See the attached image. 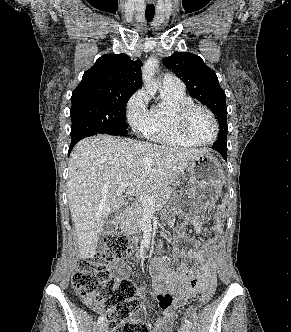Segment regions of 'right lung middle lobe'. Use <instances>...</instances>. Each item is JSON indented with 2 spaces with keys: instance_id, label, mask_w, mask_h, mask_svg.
Here are the masks:
<instances>
[{
  "instance_id": "right-lung-middle-lobe-1",
  "label": "right lung middle lobe",
  "mask_w": 291,
  "mask_h": 332,
  "mask_svg": "<svg viewBox=\"0 0 291 332\" xmlns=\"http://www.w3.org/2000/svg\"><path fill=\"white\" fill-rule=\"evenodd\" d=\"M130 94H103L72 99V126L93 122L98 132L127 136L126 104Z\"/></svg>"
}]
</instances>
